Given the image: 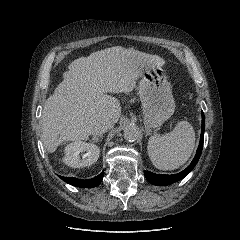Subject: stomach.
<instances>
[{"label": "stomach", "mask_w": 240, "mask_h": 240, "mask_svg": "<svg viewBox=\"0 0 240 240\" xmlns=\"http://www.w3.org/2000/svg\"><path fill=\"white\" fill-rule=\"evenodd\" d=\"M144 122L148 128H157L171 117L175 102L164 70L148 67L144 70L139 83Z\"/></svg>", "instance_id": "0dacf381"}]
</instances>
